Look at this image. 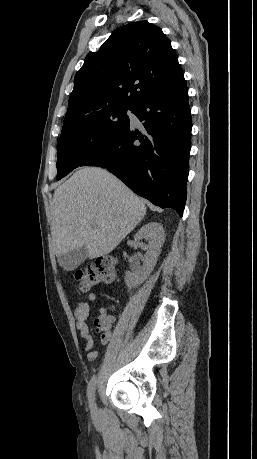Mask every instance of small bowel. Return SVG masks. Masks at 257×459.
Wrapping results in <instances>:
<instances>
[{"instance_id":"1","label":"small bowel","mask_w":257,"mask_h":459,"mask_svg":"<svg viewBox=\"0 0 257 459\" xmlns=\"http://www.w3.org/2000/svg\"><path fill=\"white\" fill-rule=\"evenodd\" d=\"M97 300V295L90 292L87 296V301L79 302L74 310L75 326L80 336L84 339V351L89 362H93L99 356V351L95 349L94 338L90 333V328L86 320L91 314V304ZM113 306L103 305L99 309V315L94 319L96 331L101 333V343L107 344L112 336L111 328L115 322V317L110 311H113Z\"/></svg>"}]
</instances>
